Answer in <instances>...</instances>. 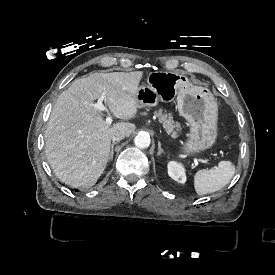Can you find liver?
<instances>
[{
	"label": "liver",
	"mask_w": 275,
	"mask_h": 275,
	"mask_svg": "<svg viewBox=\"0 0 275 275\" xmlns=\"http://www.w3.org/2000/svg\"><path fill=\"white\" fill-rule=\"evenodd\" d=\"M141 78V71L93 73L74 80L61 93L45 131L47 160L60 181L73 188L96 184L107 165L114 132L123 130L130 136L136 126L128 122L110 126L93 101L105 94L104 101L116 118H133Z\"/></svg>",
	"instance_id": "obj_1"
}]
</instances>
